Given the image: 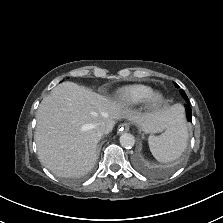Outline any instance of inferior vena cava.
Instances as JSON below:
<instances>
[{
    "label": "inferior vena cava",
    "instance_id": "602c4592",
    "mask_svg": "<svg viewBox=\"0 0 223 223\" xmlns=\"http://www.w3.org/2000/svg\"><path fill=\"white\" fill-rule=\"evenodd\" d=\"M95 129H96L98 135L102 136L106 132V125L104 123H99V124H97Z\"/></svg>",
    "mask_w": 223,
    "mask_h": 223
}]
</instances>
